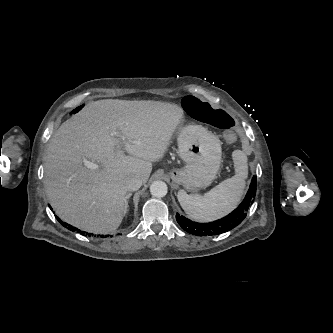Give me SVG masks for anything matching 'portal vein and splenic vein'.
<instances>
[{"mask_svg":"<svg viewBox=\"0 0 333 333\" xmlns=\"http://www.w3.org/2000/svg\"><path fill=\"white\" fill-rule=\"evenodd\" d=\"M85 166L90 169H98L99 165L90 161H85Z\"/></svg>","mask_w":333,"mask_h":333,"instance_id":"1","label":"portal vein and splenic vein"}]
</instances>
